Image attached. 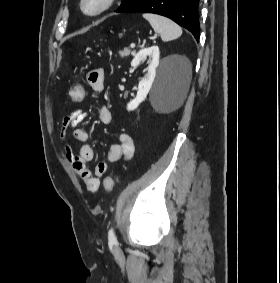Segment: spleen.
Here are the masks:
<instances>
[{
  "instance_id": "1",
  "label": "spleen",
  "mask_w": 280,
  "mask_h": 283,
  "mask_svg": "<svg viewBox=\"0 0 280 283\" xmlns=\"http://www.w3.org/2000/svg\"><path fill=\"white\" fill-rule=\"evenodd\" d=\"M143 17L150 23L155 32L159 33L163 41H171L182 35V29L174 21L157 15L143 14Z\"/></svg>"
}]
</instances>
